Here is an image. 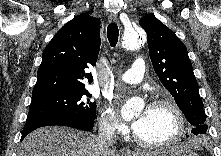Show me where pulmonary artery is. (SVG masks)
<instances>
[{
  "label": "pulmonary artery",
  "mask_w": 221,
  "mask_h": 156,
  "mask_svg": "<svg viewBox=\"0 0 221 156\" xmlns=\"http://www.w3.org/2000/svg\"><path fill=\"white\" fill-rule=\"evenodd\" d=\"M145 74V63L143 59H136L132 67L123 73L119 80L128 83V84H137L140 83Z\"/></svg>",
  "instance_id": "obj_1"
}]
</instances>
